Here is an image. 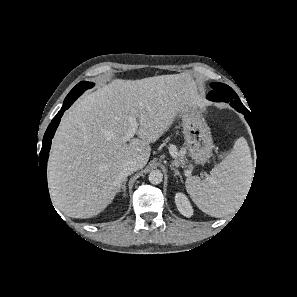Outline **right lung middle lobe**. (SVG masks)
Listing matches in <instances>:
<instances>
[{
  "mask_svg": "<svg viewBox=\"0 0 297 297\" xmlns=\"http://www.w3.org/2000/svg\"><path fill=\"white\" fill-rule=\"evenodd\" d=\"M94 84L86 81H82L78 83L71 91L70 93L66 96L64 100V104L62 107L65 105L71 106V104L87 89H90L93 87Z\"/></svg>",
  "mask_w": 297,
  "mask_h": 297,
  "instance_id": "right-lung-middle-lobe-1",
  "label": "right lung middle lobe"
}]
</instances>
